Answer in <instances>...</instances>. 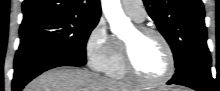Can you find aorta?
Wrapping results in <instances>:
<instances>
[{
	"mask_svg": "<svg viewBox=\"0 0 220 91\" xmlns=\"http://www.w3.org/2000/svg\"><path fill=\"white\" fill-rule=\"evenodd\" d=\"M102 10L110 23L111 31L120 35L121 32L126 30L129 20L124 15L120 0H102Z\"/></svg>",
	"mask_w": 220,
	"mask_h": 91,
	"instance_id": "1",
	"label": "aorta"
}]
</instances>
